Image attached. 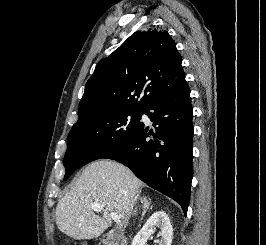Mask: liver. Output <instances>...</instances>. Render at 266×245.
Segmentation results:
<instances>
[{
	"instance_id": "6515ba94",
	"label": "liver",
	"mask_w": 266,
	"mask_h": 245,
	"mask_svg": "<svg viewBox=\"0 0 266 245\" xmlns=\"http://www.w3.org/2000/svg\"><path fill=\"white\" fill-rule=\"evenodd\" d=\"M142 185L128 167L116 161L99 159L90 163L56 207L59 231L77 241L100 237L111 227V211L130 215ZM92 203L102 205L103 217L95 215Z\"/></svg>"
}]
</instances>
